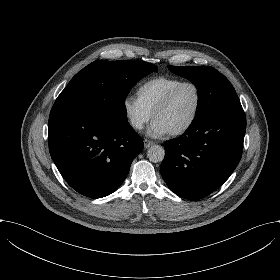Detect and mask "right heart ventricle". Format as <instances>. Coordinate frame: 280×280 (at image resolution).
I'll return each instance as SVG.
<instances>
[{
  "label": "right heart ventricle",
  "instance_id": "obj_1",
  "mask_svg": "<svg viewBox=\"0 0 280 280\" xmlns=\"http://www.w3.org/2000/svg\"><path fill=\"white\" fill-rule=\"evenodd\" d=\"M182 81V78L170 75L151 77L138 86L137 97L151 113H154L169 91Z\"/></svg>",
  "mask_w": 280,
  "mask_h": 280
}]
</instances>
